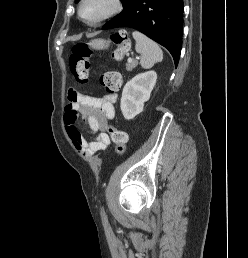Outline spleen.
<instances>
[{
  "mask_svg": "<svg viewBox=\"0 0 248 258\" xmlns=\"http://www.w3.org/2000/svg\"><path fill=\"white\" fill-rule=\"evenodd\" d=\"M132 35L136 41L135 50L141 54L140 64L143 68L149 69L162 61L163 52L157 43L139 31H133Z\"/></svg>",
  "mask_w": 248,
  "mask_h": 258,
  "instance_id": "1",
  "label": "spleen"
}]
</instances>
